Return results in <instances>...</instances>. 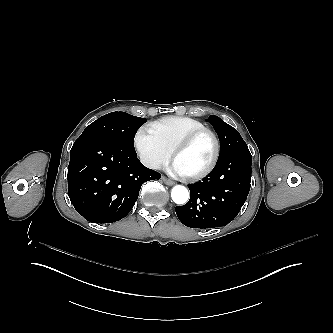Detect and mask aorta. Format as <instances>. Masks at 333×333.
Instances as JSON below:
<instances>
[{
	"instance_id": "aorta-1",
	"label": "aorta",
	"mask_w": 333,
	"mask_h": 333,
	"mask_svg": "<svg viewBox=\"0 0 333 333\" xmlns=\"http://www.w3.org/2000/svg\"><path fill=\"white\" fill-rule=\"evenodd\" d=\"M171 198L177 205H184L189 200V192L184 186H175L171 192Z\"/></svg>"
}]
</instances>
